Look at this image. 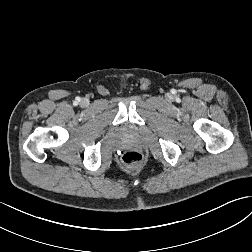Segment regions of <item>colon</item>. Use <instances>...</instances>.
<instances>
[{"instance_id": "colon-1", "label": "colon", "mask_w": 252, "mask_h": 252, "mask_svg": "<svg viewBox=\"0 0 252 252\" xmlns=\"http://www.w3.org/2000/svg\"><path fill=\"white\" fill-rule=\"evenodd\" d=\"M142 155L135 151H128L123 154L122 156V162L132 168H136L141 165L142 163Z\"/></svg>"}]
</instances>
